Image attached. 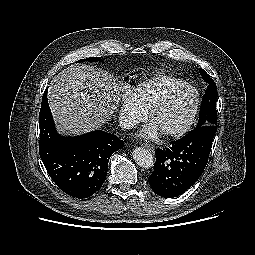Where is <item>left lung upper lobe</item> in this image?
Returning <instances> with one entry per match:
<instances>
[{
  "label": "left lung upper lobe",
  "instance_id": "obj_1",
  "mask_svg": "<svg viewBox=\"0 0 255 255\" xmlns=\"http://www.w3.org/2000/svg\"><path fill=\"white\" fill-rule=\"evenodd\" d=\"M202 78L208 83L207 90L203 96V101L200 109V117L196 127L203 125H217V88L215 82L203 70L199 69Z\"/></svg>",
  "mask_w": 255,
  "mask_h": 255
}]
</instances>
